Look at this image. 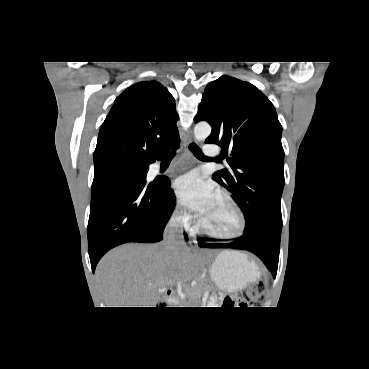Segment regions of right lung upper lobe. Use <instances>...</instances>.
<instances>
[{
    "label": "right lung upper lobe",
    "mask_w": 369,
    "mask_h": 369,
    "mask_svg": "<svg viewBox=\"0 0 369 369\" xmlns=\"http://www.w3.org/2000/svg\"><path fill=\"white\" fill-rule=\"evenodd\" d=\"M173 96L156 81H143L116 98L103 122L94 165L112 161L149 164L180 142Z\"/></svg>",
    "instance_id": "1"
}]
</instances>
